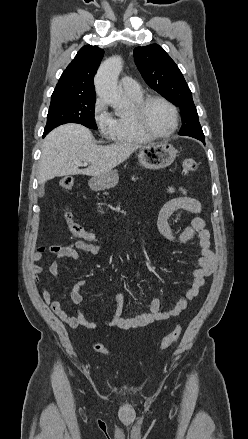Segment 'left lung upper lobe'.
I'll use <instances>...</instances> for the list:
<instances>
[{
  "instance_id": "left-lung-upper-lobe-1",
  "label": "left lung upper lobe",
  "mask_w": 248,
  "mask_h": 439,
  "mask_svg": "<svg viewBox=\"0 0 248 439\" xmlns=\"http://www.w3.org/2000/svg\"><path fill=\"white\" fill-rule=\"evenodd\" d=\"M134 56L145 82L180 108L182 127L179 134L205 142L191 91L175 62L157 44L135 48Z\"/></svg>"
}]
</instances>
